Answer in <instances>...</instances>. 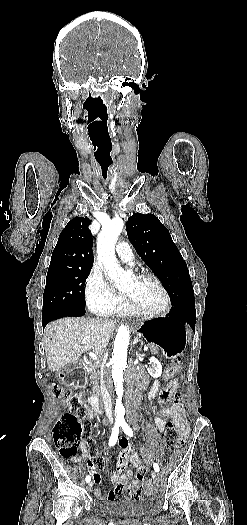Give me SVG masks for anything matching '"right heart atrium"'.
<instances>
[{
  "label": "right heart atrium",
  "instance_id": "right-heart-atrium-1",
  "mask_svg": "<svg viewBox=\"0 0 247 525\" xmlns=\"http://www.w3.org/2000/svg\"><path fill=\"white\" fill-rule=\"evenodd\" d=\"M113 289L103 272L93 268L85 283V301L89 310L97 315H106L114 307Z\"/></svg>",
  "mask_w": 247,
  "mask_h": 525
}]
</instances>
